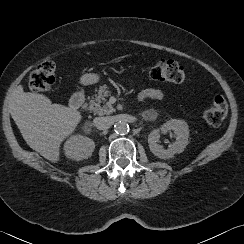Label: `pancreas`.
I'll use <instances>...</instances> for the list:
<instances>
[{
  "mask_svg": "<svg viewBox=\"0 0 244 244\" xmlns=\"http://www.w3.org/2000/svg\"><path fill=\"white\" fill-rule=\"evenodd\" d=\"M95 92L97 93L94 94L95 98L92 100L95 105V113L98 115H108L115 112L113 106L110 103L106 102L107 97L111 95L108 87L105 85L100 86L98 90H95ZM101 103H105L103 107H101Z\"/></svg>",
  "mask_w": 244,
  "mask_h": 244,
  "instance_id": "1",
  "label": "pancreas"
}]
</instances>
